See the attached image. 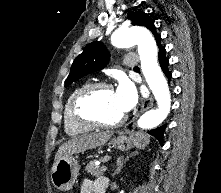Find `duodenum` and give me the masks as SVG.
Masks as SVG:
<instances>
[{"label": "duodenum", "mask_w": 221, "mask_h": 193, "mask_svg": "<svg viewBox=\"0 0 221 193\" xmlns=\"http://www.w3.org/2000/svg\"><path fill=\"white\" fill-rule=\"evenodd\" d=\"M94 193H105V190H103V189H97V190H95Z\"/></svg>", "instance_id": "obj_1"}]
</instances>
